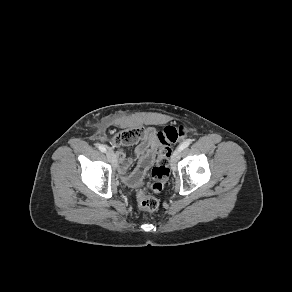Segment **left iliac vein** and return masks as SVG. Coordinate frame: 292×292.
I'll list each match as a JSON object with an SVG mask.
<instances>
[{"mask_svg":"<svg viewBox=\"0 0 292 292\" xmlns=\"http://www.w3.org/2000/svg\"><path fill=\"white\" fill-rule=\"evenodd\" d=\"M181 150L179 149V147L174 151L170 163H171V168L172 170H176L177 168V162L180 156Z\"/></svg>","mask_w":292,"mask_h":292,"instance_id":"obj_1","label":"left iliac vein"}]
</instances>
